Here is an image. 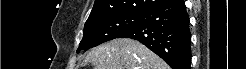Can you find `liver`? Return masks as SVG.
Returning a JSON list of instances; mask_svg holds the SVG:
<instances>
[{
    "label": "liver",
    "mask_w": 246,
    "mask_h": 69,
    "mask_svg": "<svg viewBox=\"0 0 246 69\" xmlns=\"http://www.w3.org/2000/svg\"><path fill=\"white\" fill-rule=\"evenodd\" d=\"M94 69H168V65L138 41L118 38L93 48L85 58Z\"/></svg>",
    "instance_id": "6515ba94"
}]
</instances>
